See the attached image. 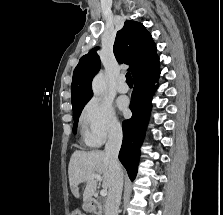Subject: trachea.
Wrapping results in <instances>:
<instances>
[{
  "label": "trachea",
  "instance_id": "3493384b",
  "mask_svg": "<svg viewBox=\"0 0 223 215\" xmlns=\"http://www.w3.org/2000/svg\"><path fill=\"white\" fill-rule=\"evenodd\" d=\"M126 82L127 83H133L130 72L126 73Z\"/></svg>",
  "mask_w": 223,
  "mask_h": 215
}]
</instances>
